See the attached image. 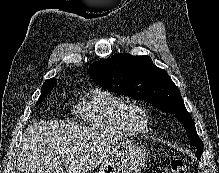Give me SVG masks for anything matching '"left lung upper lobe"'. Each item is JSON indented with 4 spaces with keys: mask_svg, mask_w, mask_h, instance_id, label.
<instances>
[{
    "mask_svg": "<svg viewBox=\"0 0 219 173\" xmlns=\"http://www.w3.org/2000/svg\"><path fill=\"white\" fill-rule=\"evenodd\" d=\"M89 75L112 92L145 100L166 113L174 114L196 146V157L200 160L203 142L197 135L180 91L167 72L156 67L149 56L117 53L109 59L92 63Z\"/></svg>",
    "mask_w": 219,
    "mask_h": 173,
    "instance_id": "1",
    "label": "left lung upper lobe"
}]
</instances>
